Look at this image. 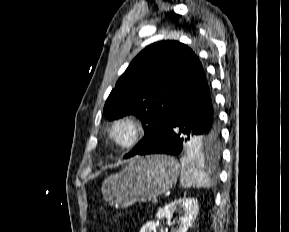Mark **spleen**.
<instances>
[{
  "label": "spleen",
  "instance_id": "1",
  "mask_svg": "<svg viewBox=\"0 0 289 232\" xmlns=\"http://www.w3.org/2000/svg\"><path fill=\"white\" fill-rule=\"evenodd\" d=\"M181 175L180 182L183 187L190 188H209V178L203 170V166L197 164L189 157H182L180 159Z\"/></svg>",
  "mask_w": 289,
  "mask_h": 232
}]
</instances>
